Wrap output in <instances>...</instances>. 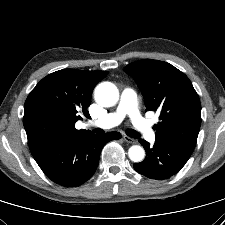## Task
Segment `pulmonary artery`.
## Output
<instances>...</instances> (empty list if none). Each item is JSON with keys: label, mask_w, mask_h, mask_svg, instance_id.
I'll return each mask as SVG.
<instances>
[{"label": "pulmonary artery", "mask_w": 225, "mask_h": 225, "mask_svg": "<svg viewBox=\"0 0 225 225\" xmlns=\"http://www.w3.org/2000/svg\"><path fill=\"white\" fill-rule=\"evenodd\" d=\"M127 116L145 139L150 142L155 141V133L152 126L141 115L137 104V94L131 88H126L122 91L120 101L114 112L107 114L98 121L93 122V124L103 128H110L120 124Z\"/></svg>", "instance_id": "obj_1"}]
</instances>
